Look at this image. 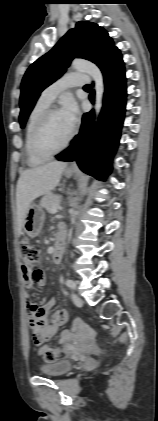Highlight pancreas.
Listing matches in <instances>:
<instances>
[{"label":"pancreas","mask_w":158,"mask_h":421,"mask_svg":"<svg viewBox=\"0 0 158 421\" xmlns=\"http://www.w3.org/2000/svg\"><path fill=\"white\" fill-rule=\"evenodd\" d=\"M61 204V196L53 193H49L44 196L40 202V205L45 208L48 212H51L52 208L58 207Z\"/></svg>","instance_id":"cf45deb5"}]
</instances>
